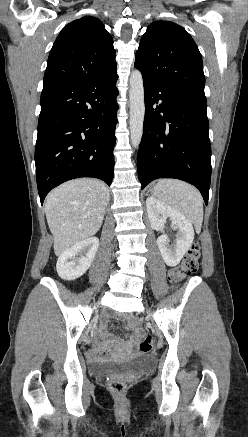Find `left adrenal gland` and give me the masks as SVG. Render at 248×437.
<instances>
[{
	"label": "left adrenal gland",
	"mask_w": 248,
	"mask_h": 437,
	"mask_svg": "<svg viewBox=\"0 0 248 437\" xmlns=\"http://www.w3.org/2000/svg\"><path fill=\"white\" fill-rule=\"evenodd\" d=\"M149 192H152V189L148 190L147 194H148Z\"/></svg>",
	"instance_id": "a2214340"
}]
</instances>
